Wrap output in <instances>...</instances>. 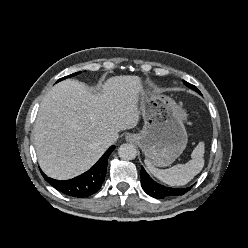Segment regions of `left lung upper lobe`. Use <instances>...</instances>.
<instances>
[{"label": "left lung upper lobe", "instance_id": "obj_1", "mask_svg": "<svg viewBox=\"0 0 248 248\" xmlns=\"http://www.w3.org/2000/svg\"><path fill=\"white\" fill-rule=\"evenodd\" d=\"M183 83H184L187 87H189V88H191V89H193V90H195L196 92H198V93L201 94V92H200L194 85H192V84H190V83H188V82H186V81H183Z\"/></svg>", "mask_w": 248, "mask_h": 248}]
</instances>
